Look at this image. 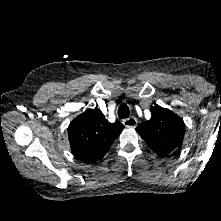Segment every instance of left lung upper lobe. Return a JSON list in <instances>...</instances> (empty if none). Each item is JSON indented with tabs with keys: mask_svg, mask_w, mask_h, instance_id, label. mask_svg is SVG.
Here are the masks:
<instances>
[{
	"mask_svg": "<svg viewBox=\"0 0 221 221\" xmlns=\"http://www.w3.org/2000/svg\"><path fill=\"white\" fill-rule=\"evenodd\" d=\"M150 111L151 119L142 122L136 131L154 152L165 157L181 147L185 124L169 109L157 105L151 107Z\"/></svg>",
	"mask_w": 221,
	"mask_h": 221,
	"instance_id": "obj_1",
	"label": "left lung upper lobe"
}]
</instances>
